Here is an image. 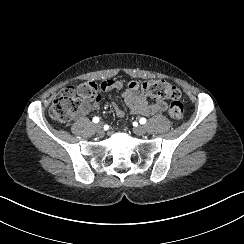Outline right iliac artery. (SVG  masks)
Listing matches in <instances>:
<instances>
[{
	"label": "right iliac artery",
	"mask_w": 244,
	"mask_h": 244,
	"mask_svg": "<svg viewBox=\"0 0 244 244\" xmlns=\"http://www.w3.org/2000/svg\"><path fill=\"white\" fill-rule=\"evenodd\" d=\"M94 123H98L99 122V118L98 117H94L92 120ZM105 128V127H104Z\"/></svg>",
	"instance_id": "right-iliac-artery-1"
}]
</instances>
